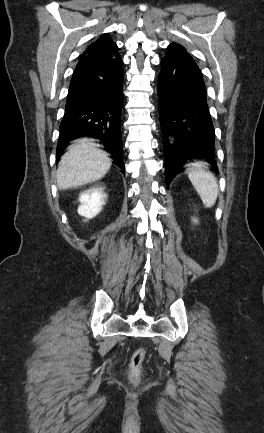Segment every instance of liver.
Masks as SVG:
<instances>
[{
	"label": "liver",
	"instance_id": "6515ba94",
	"mask_svg": "<svg viewBox=\"0 0 264 433\" xmlns=\"http://www.w3.org/2000/svg\"><path fill=\"white\" fill-rule=\"evenodd\" d=\"M110 167L108 154L98 149L92 140H77L58 164V188L66 190L95 182L103 178Z\"/></svg>",
	"mask_w": 264,
	"mask_h": 433
}]
</instances>
